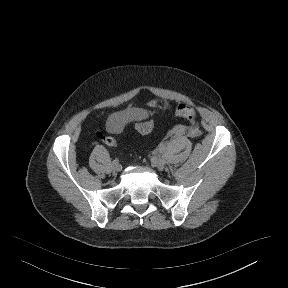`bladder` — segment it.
Masks as SVG:
<instances>
[{
	"label": "bladder",
	"mask_w": 288,
	"mask_h": 288,
	"mask_svg": "<svg viewBox=\"0 0 288 288\" xmlns=\"http://www.w3.org/2000/svg\"><path fill=\"white\" fill-rule=\"evenodd\" d=\"M143 114H144L143 111L127 110L124 113H121V114H119L116 117H113L110 120V123L113 126L121 125L126 120L134 119V118L139 117L140 115H143Z\"/></svg>",
	"instance_id": "31cf9c89"
}]
</instances>
